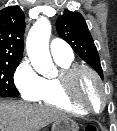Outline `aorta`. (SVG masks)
Instances as JSON below:
<instances>
[{
	"mask_svg": "<svg viewBox=\"0 0 117 131\" xmlns=\"http://www.w3.org/2000/svg\"><path fill=\"white\" fill-rule=\"evenodd\" d=\"M50 35V21L42 17L31 27L26 41L27 54L32 66L45 77L52 76L54 71V64L49 52Z\"/></svg>",
	"mask_w": 117,
	"mask_h": 131,
	"instance_id": "1",
	"label": "aorta"
}]
</instances>
